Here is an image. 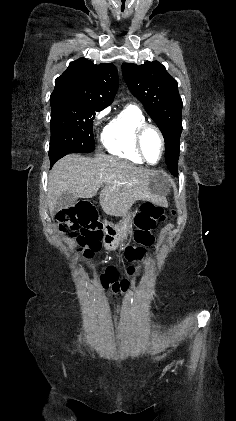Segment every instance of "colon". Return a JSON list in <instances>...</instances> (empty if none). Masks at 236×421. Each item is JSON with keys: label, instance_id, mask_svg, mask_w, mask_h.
Returning <instances> with one entry per match:
<instances>
[{"label": "colon", "instance_id": "1", "mask_svg": "<svg viewBox=\"0 0 236 421\" xmlns=\"http://www.w3.org/2000/svg\"><path fill=\"white\" fill-rule=\"evenodd\" d=\"M96 211L89 210L87 205L70 207L60 211L57 219L62 229H68L72 235L77 236L80 243V250L86 257H90L101 245L102 224L96 218ZM166 218L165 211L153 203L145 202L135 217L137 227L135 233V245L126 248V258L129 262H137L144 255V248L153 243L151 231L157 222ZM135 268L129 267L128 273L133 274ZM101 281L105 288L113 293L125 292L129 287L128 279H120L113 266L105 268L101 274Z\"/></svg>", "mask_w": 236, "mask_h": 421}]
</instances>
